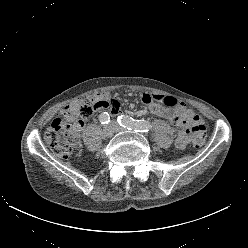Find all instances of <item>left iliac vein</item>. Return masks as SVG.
<instances>
[{"label": "left iliac vein", "instance_id": "left-iliac-vein-1", "mask_svg": "<svg viewBox=\"0 0 248 248\" xmlns=\"http://www.w3.org/2000/svg\"><path fill=\"white\" fill-rule=\"evenodd\" d=\"M111 125L114 126L116 132H118V131H123V130H124V128L121 127V126H120L117 122H115V121L111 122Z\"/></svg>", "mask_w": 248, "mask_h": 248}]
</instances>
